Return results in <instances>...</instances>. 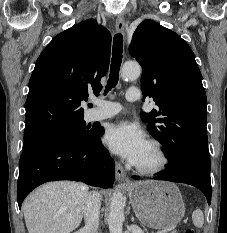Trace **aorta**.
Returning <instances> with one entry per match:
<instances>
[{"label": "aorta", "mask_w": 227, "mask_h": 233, "mask_svg": "<svg viewBox=\"0 0 227 233\" xmlns=\"http://www.w3.org/2000/svg\"><path fill=\"white\" fill-rule=\"evenodd\" d=\"M141 74V67L136 62H126L121 69V77L125 81L136 80ZM125 198L121 192H115L111 198L108 226L110 233H122L125 220Z\"/></svg>", "instance_id": "obj_1"}]
</instances>
